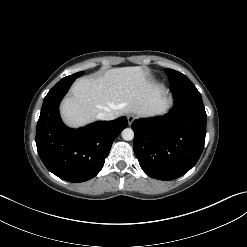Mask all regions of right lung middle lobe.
Here are the masks:
<instances>
[{
  "mask_svg": "<svg viewBox=\"0 0 247 247\" xmlns=\"http://www.w3.org/2000/svg\"><path fill=\"white\" fill-rule=\"evenodd\" d=\"M82 74H83V72H78V73H75L73 75L64 77L63 79H71V78H75L76 79L77 77L81 76ZM63 79H61V80H63Z\"/></svg>",
  "mask_w": 247,
  "mask_h": 247,
  "instance_id": "right-lung-middle-lobe-1",
  "label": "right lung middle lobe"
}]
</instances>
